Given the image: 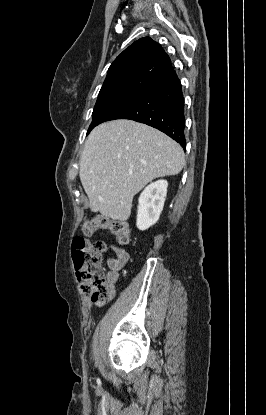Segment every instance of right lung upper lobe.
<instances>
[{"mask_svg":"<svg viewBox=\"0 0 266 415\" xmlns=\"http://www.w3.org/2000/svg\"><path fill=\"white\" fill-rule=\"evenodd\" d=\"M175 78L171 60L160 44L143 37L113 61L100 93L119 89L151 92Z\"/></svg>","mask_w":266,"mask_h":415,"instance_id":"1","label":"right lung upper lobe"}]
</instances>
